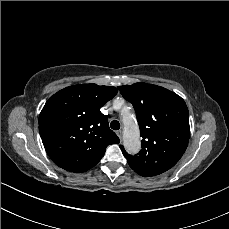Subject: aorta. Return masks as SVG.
I'll return each instance as SVG.
<instances>
[{
    "mask_svg": "<svg viewBox=\"0 0 229 229\" xmlns=\"http://www.w3.org/2000/svg\"><path fill=\"white\" fill-rule=\"evenodd\" d=\"M125 149L135 154L140 150V134L137 124L133 120L124 121V139Z\"/></svg>",
    "mask_w": 229,
    "mask_h": 229,
    "instance_id": "1",
    "label": "aorta"
}]
</instances>
